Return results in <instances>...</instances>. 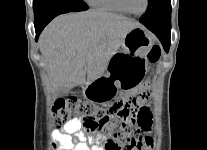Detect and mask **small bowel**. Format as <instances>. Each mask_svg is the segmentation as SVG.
<instances>
[{"label": "small bowel", "instance_id": "obj_1", "mask_svg": "<svg viewBox=\"0 0 207 150\" xmlns=\"http://www.w3.org/2000/svg\"><path fill=\"white\" fill-rule=\"evenodd\" d=\"M51 136L59 143V150H104L106 141L102 134L83 132L79 119L69 120L62 130H53Z\"/></svg>", "mask_w": 207, "mask_h": 150}]
</instances>
